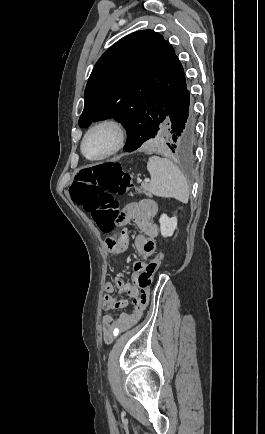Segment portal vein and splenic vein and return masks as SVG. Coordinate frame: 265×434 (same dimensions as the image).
Returning a JSON list of instances; mask_svg holds the SVG:
<instances>
[{"label":"portal vein and splenic vein","mask_w":265,"mask_h":434,"mask_svg":"<svg viewBox=\"0 0 265 434\" xmlns=\"http://www.w3.org/2000/svg\"><path fill=\"white\" fill-rule=\"evenodd\" d=\"M144 182H149L148 178H146V180H144Z\"/></svg>","instance_id":"obj_1"}]
</instances>
